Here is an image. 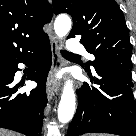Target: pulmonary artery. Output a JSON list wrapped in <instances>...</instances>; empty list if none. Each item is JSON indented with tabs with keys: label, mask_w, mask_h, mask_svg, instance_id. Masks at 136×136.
<instances>
[{
	"label": "pulmonary artery",
	"mask_w": 136,
	"mask_h": 136,
	"mask_svg": "<svg viewBox=\"0 0 136 136\" xmlns=\"http://www.w3.org/2000/svg\"><path fill=\"white\" fill-rule=\"evenodd\" d=\"M67 48L73 53H85L89 59H93L94 56L86 52L84 46L77 40L71 39L67 43Z\"/></svg>",
	"instance_id": "1"
}]
</instances>
